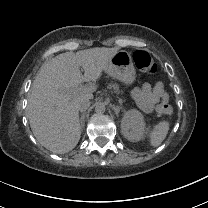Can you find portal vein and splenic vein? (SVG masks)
<instances>
[{"instance_id":"18ae733b","label":"portal vein and splenic vein","mask_w":208,"mask_h":208,"mask_svg":"<svg viewBox=\"0 0 208 208\" xmlns=\"http://www.w3.org/2000/svg\"><path fill=\"white\" fill-rule=\"evenodd\" d=\"M85 81H90L87 76H84ZM110 87L113 88L115 90V95L119 96L120 92L118 91V87L114 86L113 83H110ZM97 87L95 84H88V86H81L79 88V90L83 93H92L94 91H96Z\"/></svg>"}]
</instances>
